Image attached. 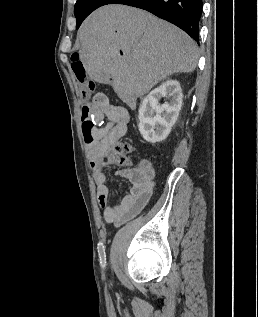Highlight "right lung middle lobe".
<instances>
[{
	"label": "right lung middle lobe",
	"instance_id": "right-lung-middle-lobe-1",
	"mask_svg": "<svg viewBox=\"0 0 258 317\" xmlns=\"http://www.w3.org/2000/svg\"><path fill=\"white\" fill-rule=\"evenodd\" d=\"M86 0H77L75 6H74V14L75 16L77 15V13L79 12V10L81 9V7L83 6V4L85 3Z\"/></svg>",
	"mask_w": 258,
	"mask_h": 317
}]
</instances>
